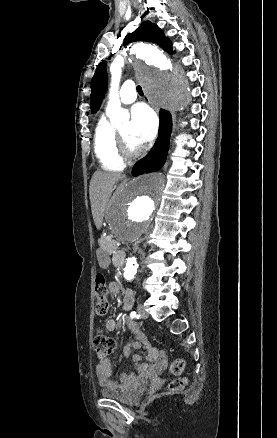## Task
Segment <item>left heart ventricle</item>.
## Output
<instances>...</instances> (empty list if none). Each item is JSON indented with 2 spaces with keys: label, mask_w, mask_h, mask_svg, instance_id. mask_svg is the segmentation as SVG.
<instances>
[{
  "label": "left heart ventricle",
  "mask_w": 277,
  "mask_h": 438,
  "mask_svg": "<svg viewBox=\"0 0 277 438\" xmlns=\"http://www.w3.org/2000/svg\"><path fill=\"white\" fill-rule=\"evenodd\" d=\"M118 132L124 136V138L126 139L128 145L132 151H134V152L138 151L137 147L132 139V136H131L130 124L125 125L121 129H119Z\"/></svg>",
  "instance_id": "b2bd125f"
}]
</instances>
